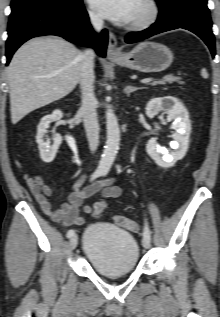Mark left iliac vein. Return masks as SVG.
Segmentation results:
<instances>
[{
  "label": "left iliac vein",
  "instance_id": "left-iliac-vein-1",
  "mask_svg": "<svg viewBox=\"0 0 220 317\" xmlns=\"http://www.w3.org/2000/svg\"><path fill=\"white\" fill-rule=\"evenodd\" d=\"M142 245H143V247H144L145 249H149V248L151 247L150 241L147 240V239H145V238H143V240H142Z\"/></svg>",
  "mask_w": 220,
  "mask_h": 317
}]
</instances>
